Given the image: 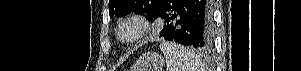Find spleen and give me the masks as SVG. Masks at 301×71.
Segmentation results:
<instances>
[{
  "mask_svg": "<svg viewBox=\"0 0 301 71\" xmlns=\"http://www.w3.org/2000/svg\"><path fill=\"white\" fill-rule=\"evenodd\" d=\"M160 49L166 59V71H205L201 58L180 44L162 42Z\"/></svg>",
  "mask_w": 301,
  "mask_h": 71,
  "instance_id": "3e777b00",
  "label": "spleen"
}]
</instances>
